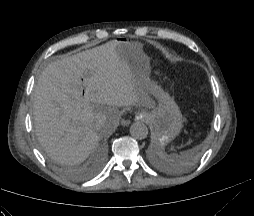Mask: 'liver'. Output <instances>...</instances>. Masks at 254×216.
<instances>
[{"label":"liver","mask_w":254,"mask_h":216,"mask_svg":"<svg viewBox=\"0 0 254 216\" xmlns=\"http://www.w3.org/2000/svg\"><path fill=\"white\" fill-rule=\"evenodd\" d=\"M118 44L110 41L63 57L40 74L33 95L34 127L56 162H83L100 138L117 128L119 107H154L146 87L149 77L130 73Z\"/></svg>","instance_id":"6515ba94"}]
</instances>
